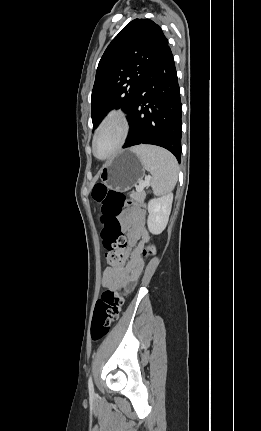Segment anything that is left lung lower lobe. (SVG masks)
<instances>
[{
    "label": "left lung lower lobe",
    "mask_w": 261,
    "mask_h": 431,
    "mask_svg": "<svg viewBox=\"0 0 261 431\" xmlns=\"http://www.w3.org/2000/svg\"><path fill=\"white\" fill-rule=\"evenodd\" d=\"M181 100L169 46L150 67L135 98L130 131L123 148L152 144L166 148L181 161Z\"/></svg>",
    "instance_id": "left-lung-lower-lobe-1"
}]
</instances>
